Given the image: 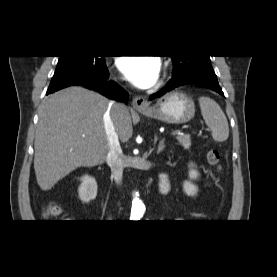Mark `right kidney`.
Masks as SVG:
<instances>
[{
    "mask_svg": "<svg viewBox=\"0 0 277 277\" xmlns=\"http://www.w3.org/2000/svg\"><path fill=\"white\" fill-rule=\"evenodd\" d=\"M79 198L83 202H90L97 196V182L95 178L84 175L81 179V184L78 188Z\"/></svg>",
    "mask_w": 277,
    "mask_h": 277,
    "instance_id": "ca27d5eb",
    "label": "right kidney"
}]
</instances>
